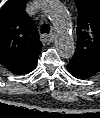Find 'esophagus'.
I'll return each mask as SVG.
<instances>
[{
	"label": "esophagus",
	"mask_w": 100,
	"mask_h": 118,
	"mask_svg": "<svg viewBox=\"0 0 100 118\" xmlns=\"http://www.w3.org/2000/svg\"><path fill=\"white\" fill-rule=\"evenodd\" d=\"M55 38H56V34H55V33H52V34H50V35H43V36H42V40H43L44 42H47V43H52V42H54Z\"/></svg>",
	"instance_id": "obj_1"
}]
</instances>
